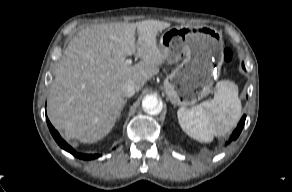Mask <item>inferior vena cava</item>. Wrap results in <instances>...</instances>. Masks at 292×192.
<instances>
[{
	"mask_svg": "<svg viewBox=\"0 0 292 192\" xmlns=\"http://www.w3.org/2000/svg\"><path fill=\"white\" fill-rule=\"evenodd\" d=\"M123 91L126 97H131L137 92V87L132 82H127L123 86Z\"/></svg>",
	"mask_w": 292,
	"mask_h": 192,
	"instance_id": "obj_1",
	"label": "inferior vena cava"
}]
</instances>
